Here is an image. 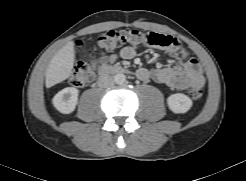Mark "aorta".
<instances>
[{
    "instance_id": "aorta-1",
    "label": "aorta",
    "mask_w": 246,
    "mask_h": 181,
    "mask_svg": "<svg viewBox=\"0 0 246 181\" xmlns=\"http://www.w3.org/2000/svg\"><path fill=\"white\" fill-rule=\"evenodd\" d=\"M114 81L118 85H122L126 82V76L123 73H118L114 76Z\"/></svg>"
}]
</instances>
